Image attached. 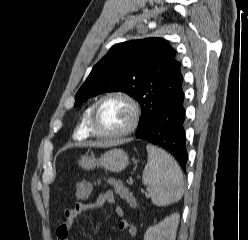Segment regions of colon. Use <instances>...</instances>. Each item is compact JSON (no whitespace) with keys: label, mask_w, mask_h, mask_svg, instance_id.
<instances>
[{"label":"colon","mask_w":248,"mask_h":240,"mask_svg":"<svg viewBox=\"0 0 248 240\" xmlns=\"http://www.w3.org/2000/svg\"><path fill=\"white\" fill-rule=\"evenodd\" d=\"M109 183L111 184L114 192L119 195L122 199H124L127 203H129L132 207L137 206V202L133 194L117 179H109ZM93 183L91 181H82L77 186L76 198L79 201H84L89 197L90 191L92 189Z\"/></svg>","instance_id":"1"}]
</instances>
